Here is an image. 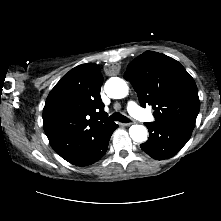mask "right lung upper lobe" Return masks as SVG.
<instances>
[{
    "instance_id": "cb5924a9",
    "label": "right lung upper lobe",
    "mask_w": 221,
    "mask_h": 221,
    "mask_svg": "<svg viewBox=\"0 0 221 221\" xmlns=\"http://www.w3.org/2000/svg\"><path fill=\"white\" fill-rule=\"evenodd\" d=\"M102 83L96 64H82L64 75L47 97L43 128L53 149L66 161L82 153L114 123L105 120Z\"/></svg>"
}]
</instances>
